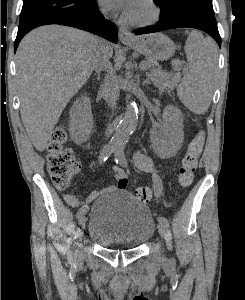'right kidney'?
I'll list each match as a JSON object with an SVG mask.
<instances>
[{
	"label": "right kidney",
	"mask_w": 245,
	"mask_h": 300,
	"mask_svg": "<svg viewBox=\"0 0 245 300\" xmlns=\"http://www.w3.org/2000/svg\"><path fill=\"white\" fill-rule=\"evenodd\" d=\"M93 129L90 100L86 96L77 99L70 110V136L76 144L88 140Z\"/></svg>",
	"instance_id": "obj_1"
}]
</instances>
